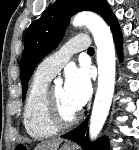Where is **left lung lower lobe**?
Segmentation results:
<instances>
[{
    "instance_id": "obj_1",
    "label": "left lung lower lobe",
    "mask_w": 139,
    "mask_h": 150,
    "mask_svg": "<svg viewBox=\"0 0 139 150\" xmlns=\"http://www.w3.org/2000/svg\"><path fill=\"white\" fill-rule=\"evenodd\" d=\"M107 24L110 26L111 31L113 33L114 39L120 49L121 46V32L120 28L118 25L117 18L115 15L112 13L110 10L107 16L104 19ZM88 119H86L83 123H81L78 127H76L74 130L62 135V138L72 140L74 142H77L79 144H82V146L86 150H108V142L106 138H101L97 140L93 145H89V140H88V134L86 137H84L86 131H87V124Z\"/></svg>"
}]
</instances>
